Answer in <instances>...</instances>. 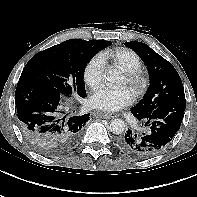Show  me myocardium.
Returning a JSON list of instances; mask_svg holds the SVG:
<instances>
[{
    "label": "myocardium",
    "instance_id": "f54148a6",
    "mask_svg": "<svg viewBox=\"0 0 197 197\" xmlns=\"http://www.w3.org/2000/svg\"><path fill=\"white\" fill-rule=\"evenodd\" d=\"M127 84L131 87L136 96L144 94L148 86V77L141 68L125 73Z\"/></svg>",
    "mask_w": 197,
    "mask_h": 197
}]
</instances>
